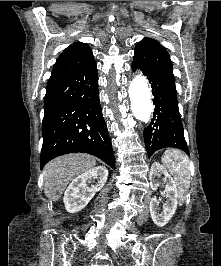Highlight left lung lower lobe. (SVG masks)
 <instances>
[{"mask_svg": "<svg viewBox=\"0 0 221 266\" xmlns=\"http://www.w3.org/2000/svg\"><path fill=\"white\" fill-rule=\"evenodd\" d=\"M131 66L134 71L139 69L147 77L154 96V116L143 134L148 156L165 147L178 148L189 154L173 74L144 69L134 60Z\"/></svg>", "mask_w": 221, "mask_h": 266, "instance_id": "1", "label": "left lung lower lobe"}]
</instances>
